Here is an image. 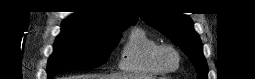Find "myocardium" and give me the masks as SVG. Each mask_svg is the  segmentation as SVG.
<instances>
[{"instance_id":"obj_1","label":"myocardium","mask_w":255,"mask_h":79,"mask_svg":"<svg viewBox=\"0 0 255 79\" xmlns=\"http://www.w3.org/2000/svg\"><path fill=\"white\" fill-rule=\"evenodd\" d=\"M166 51H171L175 54V56L177 57L176 66L172 67L166 63V61L164 60V57H163V54ZM153 60L156 63V65L164 72H173V71H176L181 64V55H180L179 51L173 45L161 44L155 49L154 55H153Z\"/></svg>"}]
</instances>
